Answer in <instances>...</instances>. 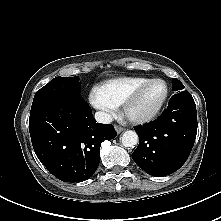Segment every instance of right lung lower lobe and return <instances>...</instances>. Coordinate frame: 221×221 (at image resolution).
Listing matches in <instances>:
<instances>
[{"instance_id":"right-lung-lower-lobe-1","label":"right lung lower lobe","mask_w":221,"mask_h":221,"mask_svg":"<svg viewBox=\"0 0 221 221\" xmlns=\"http://www.w3.org/2000/svg\"><path fill=\"white\" fill-rule=\"evenodd\" d=\"M29 132L43 165L65 182L91 177L99 165L101 143L117 135L112 125L96 123L80 95L57 97L31 107Z\"/></svg>"}]
</instances>
